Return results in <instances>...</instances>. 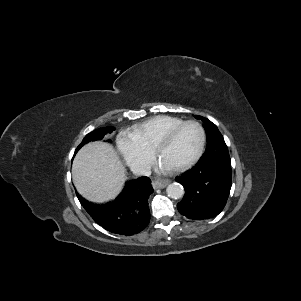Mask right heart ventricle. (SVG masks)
<instances>
[{
    "label": "right heart ventricle",
    "instance_id": "1",
    "mask_svg": "<svg viewBox=\"0 0 301 301\" xmlns=\"http://www.w3.org/2000/svg\"><path fill=\"white\" fill-rule=\"evenodd\" d=\"M184 120L169 115H159L135 124L128 133L135 138L144 148L153 150L156 140L166 131L180 124Z\"/></svg>",
    "mask_w": 301,
    "mask_h": 301
}]
</instances>
